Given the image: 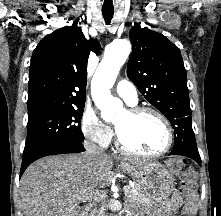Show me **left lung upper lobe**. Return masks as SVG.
Masks as SVG:
<instances>
[{"mask_svg": "<svg viewBox=\"0 0 221 216\" xmlns=\"http://www.w3.org/2000/svg\"><path fill=\"white\" fill-rule=\"evenodd\" d=\"M133 52L127 75L174 128L173 149L188 147L199 154L192 129L189 90L179 48L164 35L134 25L130 30Z\"/></svg>", "mask_w": 221, "mask_h": 216, "instance_id": "1", "label": "left lung upper lobe"}]
</instances>
